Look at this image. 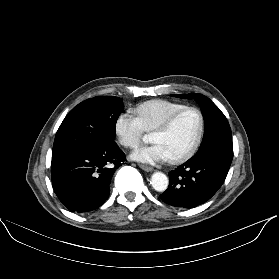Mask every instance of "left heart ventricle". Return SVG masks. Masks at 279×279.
<instances>
[{
    "instance_id": "obj_1",
    "label": "left heart ventricle",
    "mask_w": 279,
    "mask_h": 279,
    "mask_svg": "<svg viewBox=\"0 0 279 279\" xmlns=\"http://www.w3.org/2000/svg\"><path fill=\"white\" fill-rule=\"evenodd\" d=\"M198 129V117L193 111L179 115L165 133H153L151 141L160 143L170 158L184 153L194 141Z\"/></svg>"
}]
</instances>
